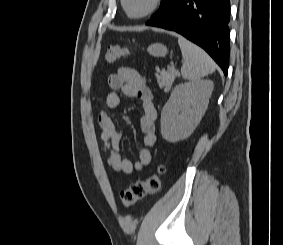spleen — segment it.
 I'll return each instance as SVG.
<instances>
[{
  "instance_id": "spleen-1",
  "label": "spleen",
  "mask_w": 283,
  "mask_h": 245,
  "mask_svg": "<svg viewBox=\"0 0 283 245\" xmlns=\"http://www.w3.org/2000/svg\"><path fill=\"white\" fill-rule=\"evenodd\" d=\"M178 44L184 59V63L181 67L183 79L198 81L202 77L215 71L216 65L214 61L199 46L182 36L178 37Z\"/></svg>"
}]
</instances>
